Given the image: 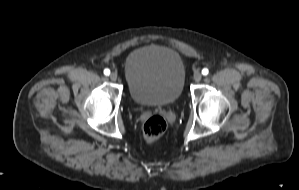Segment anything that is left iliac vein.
<instances>
[{
  "label": "left iliac vein",
  "mask_w": 299,
  "mask_h": 190,
  "mask_svg": "<svg viewBox=\"0 0 299 190\" xmlns=\"http://www.w3.org/2000/svg\"><path fill=\"white\" fill-rule=\"evenodd\" d=\"M201 79H202V74L200 72H198V71L195 72V74H194V80L196 82H199Z\"/></svg>",
  "instance_id": "obj_1"
}]
</instances>
